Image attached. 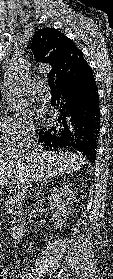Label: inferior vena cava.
Wrapping results in <instances>:
<instances>
[{
	"label": "inferior vena cava",
	"mask_w": 113,
	"mask_h": 279,
	"mask_svg": "<svg viewBox=\"0 0 113 279\" xmlns=\"http://www.w3.org/2000/svg\"><path fill=\"white\" fill-rule=\"evenodd\" d=\"M36 146V130L33 126L27 128L22 139L18 142L17 148L22 151L34 152L37 148ZM37 183V181H34ZM32 188V184L29 185Z\"/></svg>",
	"instance_id": "1"
}]
</instances>
